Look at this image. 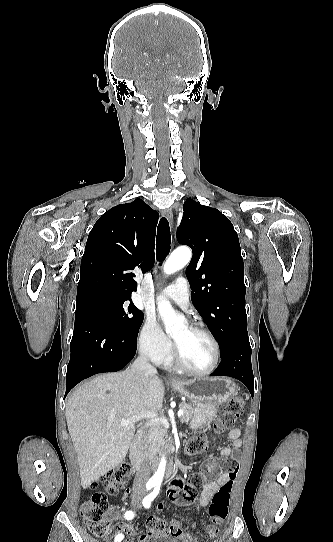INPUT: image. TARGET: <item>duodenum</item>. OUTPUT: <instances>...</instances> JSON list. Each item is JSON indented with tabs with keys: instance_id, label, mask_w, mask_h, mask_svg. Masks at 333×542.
Listing matches in <instances>:
<instances>
[{
	"instance_id": "410a0bca",
	"label": "duodenum",
	"mask_w": 333,
	"mask_h": 542,
	"mask_svg": "<svg viewBox=\"0 0 333 542\" xmlns=\"http://www.w3.org/2000/svg\"><path fill=\"white\" fill-rule=\"evenodd\" d=\"M129 460L134 470L144 471L147 465V460L142 453V436L137 435L133 440L130 451H129ZM175 467L172 464L166 466L165 475L166 477H171L174 474Z\"/></svg>"
}]
</instances>
